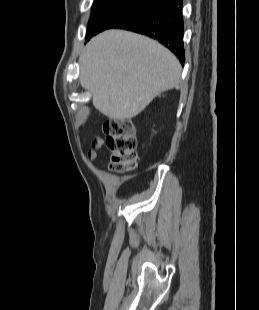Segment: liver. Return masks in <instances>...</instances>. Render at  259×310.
<instances>
[{
  "label": "liver",
  "instance_id": "6515ba94",
  "mask_svg": "<svg viewBox=\"0 0 259 310\" xmlns=\"http://www.w3.org/2000/svg\"><path fill=\"white\" fill-rule=\"evenodd\" d=\"M80 83L94 107L114 120L141 113L160 93L179 86L181 65L160 43L108 30L92 38L80 57Z\"/></svg>",
  "mask_w": 259,
  "mask_h": 310
}]
</instances>
